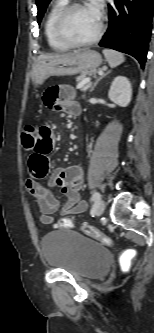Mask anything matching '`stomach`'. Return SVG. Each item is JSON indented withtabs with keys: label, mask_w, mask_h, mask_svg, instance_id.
<instances>
[{
	"label": "stomach",
	"mask_w": 154,
	"mask_h": 333,
	"mask_svg": "<svg viewBox=\"0 0 154 333\" xmlns=\"http://www.w3.org/2000/svg\"><path fill=\"white\" fill-rule=\"evenodd\" d=\"M102 63L101 55L93 50L70 53L64 56L38 61L32 69V82L41 85L51 76H70L95 70Z\"/></svg>",
	"instance_id": "obj_1"
}]
</instances>
